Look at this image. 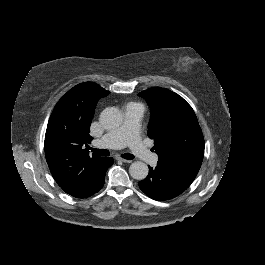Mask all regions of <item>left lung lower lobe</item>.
<instances>
[{"mask_svg": "<svg viewBox=\"0 0 265 265\" xmlns=\"http://www.w3.org/2000/svg\"><path fill=\"white\" fill-rule=\"evenodd\" d=\"M198 171L183 167L157 164L149 167L148 176L138 183L140 189L154 200H169L184 192L194 181Z\"/></svg>", "mask_w": 265, "mask_h": 265, "instance_id": "1", "label": "left lung lower lobe"}]
</instances>
